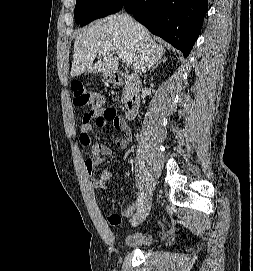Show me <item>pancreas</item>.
I'll return each mask as SVG.
<instances>
[{"label": "pancreas", "mask_w": 253, "mask_h": 271, "mask_svg": "<svg viewBox=\"0 0 253 271\" xmlns=\"http://www.w3.org/2000/svg\"><path fill=\"white\" fill-rule=\"evenodd\" d=\"M122 101H123V102H125V101H126V98H125V93L123 94Z\"/></svg>", "instance_id": "1"}]
</instances>
